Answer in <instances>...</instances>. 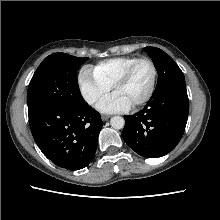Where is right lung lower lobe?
Segmentation results:
<instances>
[{
	"label": "right lung lower lobe",
	"mask_w": 220,
	"mask_h": 220,
	"mask_svg": "<svg viewBox=\"0 0 220 220\" xmlns=\"http://www.w3.org/2000/svg\"><path fill=\"white\" fill-rule=\"evenodd\" d=\"M32 135L43 154L68 170L86 167L95 155L100 114L87 103L76 108L51 105L29 113Z\"/></svg>",
	"instance_id": "right-lung-lower-lobe-1"
}]
</instances>
